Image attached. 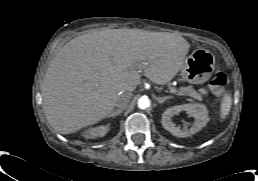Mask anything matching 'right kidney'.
<instances>
[{
  "mask_svg": "<svg viewBox=\"0 0 258 181\" xmlns=\"http://www.w3.org/2000/svg\"><path fill=\"white\" fill-rule=\"evenodd\" d=\"M109 131V126L107 125H100V126H96V127H91L89 129H87L84 132V136L86 138H97V137H103L104 135L107 134V132Z\"/></svg>",
  "mask_w": 258,
  "mask_h": 181,
  "instance_id": "right-kidney-1",
  "label": "right kidney"
}]
</instances>
